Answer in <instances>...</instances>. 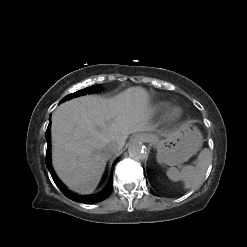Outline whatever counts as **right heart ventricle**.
<instances>
[{"label": "right heart ventricle", "instance_id": "e07e8e85", "mask_svg": "<svg viewBox=\"0 0 247 247\" xmlns=\"http://www.w3.org/2000/svg\"><path fill=\"white\" fill-rule=\"evenodd\" d=\"M167 107H168V104H166V103H162L160 105V109H166Z\"/></svg>", "mask_w": 247, "mask_h": 247}]
</instances>
